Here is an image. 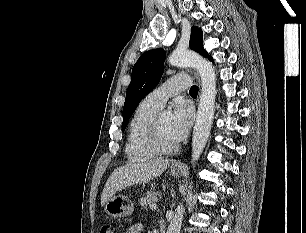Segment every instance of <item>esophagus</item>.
<instances>
[{
    "label": "esophagus",
    "mask_w": 306,
    "mask_h": 233,
    "mask_svg": "<svg viewBox=\"0 0 306 233\" xmlns=\"http://www.w3.org/2000/svg\"><path fill=\"white\" fill-rule=\"evenodd\" d=\"M194 75L195 77L198 79V81L200 82V79H199V76H198V73L197 72H194ZM174 168H179L181 167L182 165L180 163H175L172 165Z\"/></svg>",
    "instance_id": "esophagus-1"
}]
</instances>
